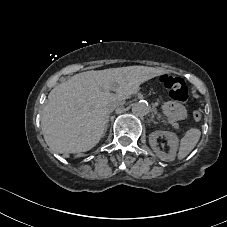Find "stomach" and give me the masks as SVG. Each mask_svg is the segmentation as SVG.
<instances>
[{
  "mask_svg": "<svg viewBox=\"0 0 227 227\" xmlns=\"http://www.w3.org/2000/svg\"><path fill=\"white\" fill-rule=\"evenodd\" d=\"M162 111L171 120H183L187 116L185 107L176 101H167L162 105Z\"/></svg>",
  "mask_w": 227,
  "mask_h": 227,
  "instance_id": "0dacf381",
  "label": "stomach"
}]
</instances>
